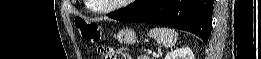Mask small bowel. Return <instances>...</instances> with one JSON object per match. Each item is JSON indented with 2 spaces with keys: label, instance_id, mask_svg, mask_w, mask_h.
<instances>
[{
  "label": "small bowel",
  "instance_id": "obj_1",
  "mask_svg": "<svg viewBox=\"0 0 261 59\" xmlns=\"http://www.w3.org/2000/svg\"><path fill=\"white\" fill-rule=\"evenodd\" d=\"M121 58L130 59V56L127 53H125Z\"/></svg>",
  "mask_w": 261,
  "mask_h": 59
}]
</instances>
